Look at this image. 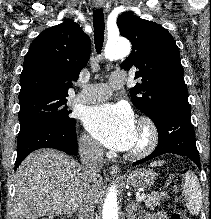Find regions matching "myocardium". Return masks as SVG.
Listing matches in <instances>:
<instances>
[{
    "mask_svg": "<svg viewBox=\"0 0 211 219\" xmlns=\"http://www.w3.org/2000/svg\"><path fill=\"white\" fill-rule=\"evenodd\" d=\"M138 128L142 133L143 140L138 147L131 149L127 153L126 156L132 160H139L148 156L155 150L159 140V132L157 126L150 118H141Z\"/></svg>",
    "mask_w": 211,
    "mask_h": 219,
    "instance_id": "1",
    "label": "myocardium"
}]
</instances>
